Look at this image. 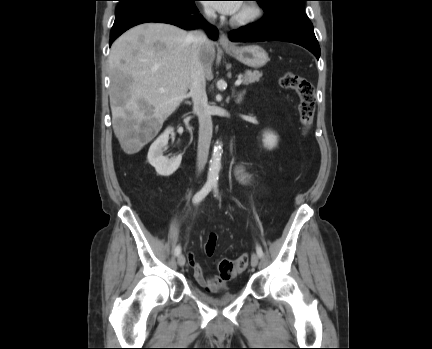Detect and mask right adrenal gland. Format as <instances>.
<instances>
[{
  "instance_id": "2a0ac1e0",
  "label": "right adrenal gland",
  "mask_w": 432,
  "mask_h": 349,
  "mask_svg": "<svg viewBox=\"0 0 432 349\" xmlns=\"http://www.w3.org/2000/svg\"><path fill=\"white\" fill-rule=\"evenodd\" d=\"M185 103H187V104L191 105V102H190V101H185Z\"/></svg>"
}]
</instances>
